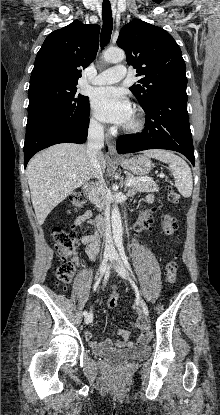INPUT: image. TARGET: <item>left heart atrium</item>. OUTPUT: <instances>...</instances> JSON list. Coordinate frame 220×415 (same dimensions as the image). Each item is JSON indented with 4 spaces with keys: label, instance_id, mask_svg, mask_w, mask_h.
Masks as SVG:
<instances>
[{
    "label": "left heart atrium",
    "instance_id": "39dd6f15",
    "mask_svg": "<svg viewBox=\"0 0 220 415\" xmlns=\"http://www.w3.org/2000/svg\"><path fill=\"white\" fill-rule=\"evenodd\" d=\"M92 106L101 121L126 124L132 117V108L125 94L118 88L108 86L94 90Z\"/></svg>",
    "mask_w": 220,
    "mask_h": 415
}]
</instances>
